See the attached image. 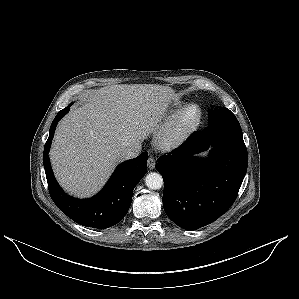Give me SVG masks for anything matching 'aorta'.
I'll return each mask as SVG.
<instances>
[{"mask_svg":"<svg viewBox=\"0 0 299 299\" xmlns=\"http://www.w3.org/2000/svg\"><path fill=\"white\" fill-rule=\"evenodd\" d=\"M146 186L153 190H158L163 186V178L159 173L151 172L145 177Z\"/></svg>","mask_w":299,"mask_h":299,"instance_id":"1","label":"aorta"}]
</instances>
